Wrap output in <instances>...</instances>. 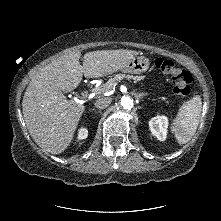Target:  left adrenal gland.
Returning <instances> with one entry per match:
<instances>
[{
    "instance_id": "left-adrenal-gland-1",
    "label": "left adrenal gland",
    "mask_w": 221,
    "mask_h": 221,
    "mask_svg": "<svg viewBox=\"0 0 221 221\" xmlns=\"http://www.w3.org/2000/svg\"><path fill=\"white\" fill-rule=\"evenodd\" d=\"M148 95V93H140V94H136V97L138 98V99H140V98H142L143 96H147Z\"/></svg>"
}]
</instances>
